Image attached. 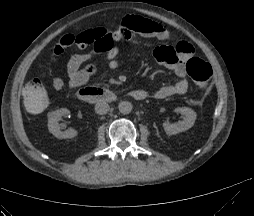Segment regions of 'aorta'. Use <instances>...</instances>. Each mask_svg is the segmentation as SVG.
Returning <instances> with one entry per match:
<instances>
[{
  "instance_id": "aorta-1",
  "label": "aorta",
  "mask_w": 254,
  "mask_h": 216,
  "mask_svg": "<svg viewBox=\"0 0 254 216\" xmlns=\"http://www.w3.org/2000/svg\"><path fill=\"white\" fill-rule=\"evenodd\" d=\"M133 105L129 101H122L118 105V109L122 114H129L132 111Z\"/></svg>"
}]
</instances>
